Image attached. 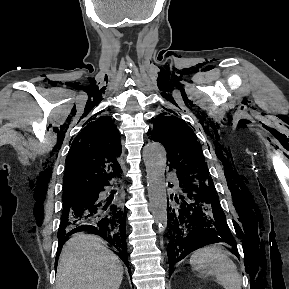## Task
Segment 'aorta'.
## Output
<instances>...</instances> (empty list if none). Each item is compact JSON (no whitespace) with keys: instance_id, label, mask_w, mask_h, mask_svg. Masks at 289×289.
Masks as SVG:
<instances>
[{"instance_id":"aorta-1","label":"aorta","mask_w":289,"mask_h":289,"mask_svg":"<svg viewBox=\"0 0 289 289\" xmlns=\"http://www.w3.org/2000/svg\"><path fill=\"white\" fill-rule=\"evenodd\" d=\"M143 159L147 173V187L150 209L159 233L167 227V196L165 169L167 154L158 142H150L143 149Z\"/></svg>"}]
</instances>
